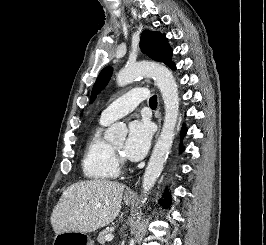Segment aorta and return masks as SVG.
<instances>
[{
    "label": "aorta",
    "instance_id": "1",
    "mask_svg": "<svg viewBox=\"0 0 266 245\" xmlns=\"http://www.w3.org/2000/svg\"><path fill=\"white\" fill-rule=\"evenodd\" d=\"M153 76L155 84H157L163 98L165 116L162 131L158 141L154 147V151L151 155V159L146 167V171L143 175L142 181V193L143 197L148 195L152 187H154L159 175H161L164 169V163L168 159L170 149L172 147L173 139L175 137V129L178 123L179 114V92L178 84L169 68L159 64V62H151L149 66H142V64H127L125 68L119 70L117 74V84L119 86H125L134 82L136 76ZM127 135V129L125 125L121 123H114L110 129L106 131V141H125ZM144 199L143 203H145ZM139 215V213H137ZM139 219V217H136ZM137 223L132 225V233L135 235L137 231ZM130 243L134 245V239H131Z\"/></svg>",
    "mask_w": 266,
    "mask_h": 245
}]
</instances>
